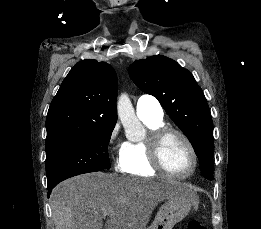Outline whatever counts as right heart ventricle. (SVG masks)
<instances>
[{"label":"right heart ventricle","mask_w":261,"mask_h":229,"mask_svg":"<svg viewBox=\"0 0 261 229\" xmlns=\"http://www.w3.org/2000/svg\"><path fill=\"white\" fill-rule=\"evenodd\" d=\"M148 129V135L140 141H127L123 144L124 170L131 175L152 176L157 172L150 157L153 134L165 126L163 118L154 120L139 117Z\"/></svg>","instance_id":"right-heart-ventricle-1"}]
</instances>
